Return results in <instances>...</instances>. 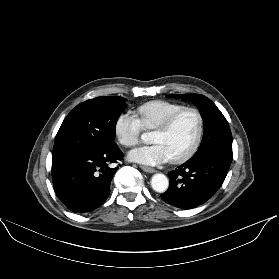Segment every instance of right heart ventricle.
<instances>
[{
  "label": "right heart ventricle",
  "instance_id": "1",
  "mask_svg": "<svg viewBox=\"0 0 279 279\" xmlns=\"http://www.w3.org/2000/svg\"><path fill=\"white\" fill-rule=\"evenodd\" d=\"M181 104L165 100H153L139 105L135 112L142 127L147 130L155 129L169 115L183 108Z\"/></svg>",
  "mask_w": 279,
  "mask_h": 279
}]
</instances>
